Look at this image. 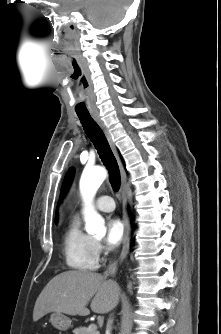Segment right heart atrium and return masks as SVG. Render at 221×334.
I'll list each match as a JSON object with an SVG mask.
<instances>
[{
    "label": "right heart atrium",
    "mask_w": 221,
    "mask_h": 334,
    "mask_svg": "<svg viewBox=\"0 0 221 334\" xmlns=\"http://www.w3.org/2000/svg\"><path fill=\"white\" fill-rule=\"evenodd\" d=\"M96 246H97L98 253L102 254L104 252V250H105L104 246L100 242H97Z\"/></svg>",
    "instance_id": "obj_1"
}]
</instances>
